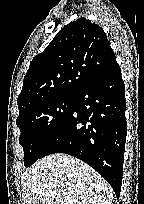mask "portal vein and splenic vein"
<instances>
[{"mask_svg":"<svg viewBox=\"0 0 144 204\" xmlns=\"http://www.w3.org/2000/svg\"><path fill=\"white\" fill-rule=\"evenodd\" d=\"M50 195H51V196H54V195H55V192H51Z\"/></svg>","mask_w":144,"mask_h":204,"instance_id":"18ae733b","label":"portal vein and splenic vein"}]
</instances>
